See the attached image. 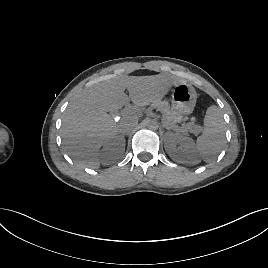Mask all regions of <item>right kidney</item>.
Wrapping results in <instances>:
<instances>
[{
  "instance_id": "1",
  "label": "right kidney",
  "mask_w": 268,
  "mask_h": 268,
  "mask_svg": "<svg viewBox=\"0 0 268 268\" xmlns=\"http://www.w3.org/2000/svg\"><path fill=\"white\" fill-rule=\"evenodd\" d=\"M125 151V139L122 136H116L104 144L100 152V159L103 165H110L119 161Z\"/></svg>"
}]
</instances>
